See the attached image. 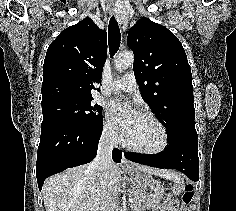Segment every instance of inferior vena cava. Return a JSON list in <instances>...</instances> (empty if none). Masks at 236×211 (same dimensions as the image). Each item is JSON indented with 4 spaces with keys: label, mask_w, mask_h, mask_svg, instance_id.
Instances as JSON below:
<instances>
[{
    "label": "inferior vena cava",
    "mask_w": 236,
    "mask_h": 211,
    "mask_svg": "<svg viewBox=\"0 0 236 211\" xmlns=\"http://www.w3.org/2000/svg\"><path fill=\"white\" fill-rule=\"evenodd\" d=\"M115 136L113 131H106L102 134L96 158L89 165V169L95 170L98 172V176L103 178L107 174V170L112 164V151L114 144ZM106 205L103 204L100 211H107Z\"/></svg>",
    "instance_id": "inferior-vena-cava-1"
}]
</instances>
